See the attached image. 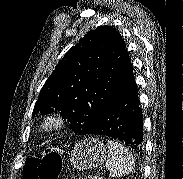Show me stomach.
<instances>
[{
    "label": "stomach",
    "instance_id": "1",
    "mask_svg": "<svg viewBox=\"0 0 183 179\" xmlns=\"http://www.w3.org/2000/svg\"><path fill=\"white\" fill-rule=\"evenodd\" d=\"M105 159L106 149L103 143L94 138L79 142L70 154V162L78 170L98 167Z\"/></svg>",
    "mask_w": 183,
    "mask_h": 179
}]
</instances>
